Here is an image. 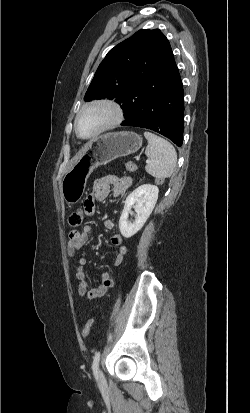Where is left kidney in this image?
Masks as SVG:
<instances>
[{"label": "left kidney", "instance_id": "obj_1", "mask_svg": "<svg viewBox=\"0 0 250 413\" xmlns=\"http://www.w3.org/2000/svg\"><path fill=\"white\" fill-rule=\"evenodd\" d=\"M158 193L157 186L143 184L127 196L119 220V229L125 238L132 237L143 227L155 207ZM132 207H134L137 214L135 220L129 222L128 216Z\"/></svg>", "mask_w": 250, "mask_h": 413}]
</instances>
